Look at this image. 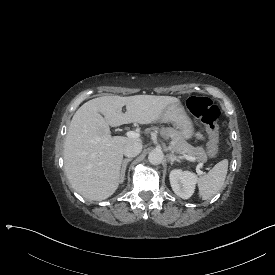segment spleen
<instances>
[{
  "label": "spleen",
  "mask_w": 275,
  "mask_h": 275,
  "mask_svg": "<svg viewBox=\"0 0 275 275\" xmlns=\"http://www.w3.org/2000/svg\"><path fill=\"white\" fill-rule=\"evenodd\" d=\"M228 172V160L215 164L213 169L205 176L199 179V189L202 199L212 198L223 186Z\"/></svg>",
  "instance_id": "obj_1"
}]
</instances>
